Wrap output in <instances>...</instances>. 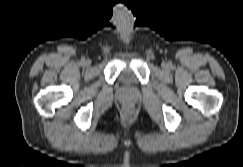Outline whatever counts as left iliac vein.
Returning a JSON list of instances; mask_svg holds the SVG:
<instances>
[{
    "label": "left iliac vein",
    "mask_w": 243,
    "mask_h": 167,
    "mask_svg": "<svg viewBox=\"0 0 243 167\" xmlns=\"http://www.w3.org/2000/svg\"><path fill=\"white\" fill-rule=\"evenodd\" d=\"M164 69H167V65H164Z\"/></svg>",
    "instance_id": "obj_1"
}]
</instances>
